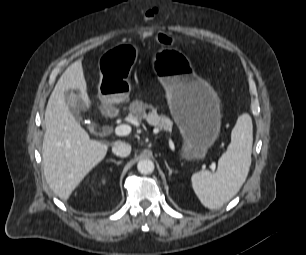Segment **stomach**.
Instances as JSON below:
<instances>
[{
    "label": "stomach",
    "mask_w": 306,
    "mask_h": 255,
    "mask_svg": "<svg viewBox=\"0 0 306 255\" xmlns=\"http://www.w3.org/2000/svg\"><path fill=\"white\" fill-rule=\"evenodd\" d=\"M138 49L120 44L108 49L99 60L98 96L104 110L123 102L131 86L126 76L131 72ZM159 80L166 90L171 114L184 139L182 155L203 159L220 131L219 102L215 92L194 74L188 56L175 50H164L156 58Z\"/></svg>",
    "instance_id": "0dacf381"
}]
</instances>
